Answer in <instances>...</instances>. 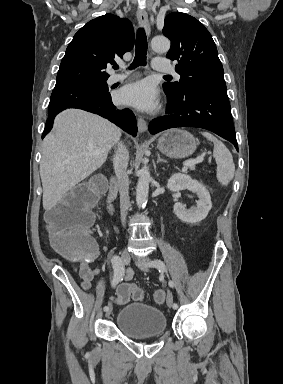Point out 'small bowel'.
Listing matches in <instances>:
<instances>
[{"mask_svg": "<svg viewBox=\"0 0 283 384\" xmlns=\"http://www.w3.org/2000/svg\"><path fill=\"white\" fill-rule=\"evenodd\" d=\"M97 255V254H96ZM77 272L81 278L82 286L84 289H89L92 285L93 279L100 273L99 269H93L89 266L88 261H81ZM133 277V270L128 268L124 278L125 282H129ZM129 284V283H125Z\"/></svg>", "mask_w": 283, "mask_h": 384, "instance_id": "small-bowel-1", "label": "small bowel"}]
</instances>
